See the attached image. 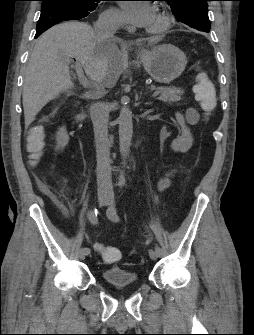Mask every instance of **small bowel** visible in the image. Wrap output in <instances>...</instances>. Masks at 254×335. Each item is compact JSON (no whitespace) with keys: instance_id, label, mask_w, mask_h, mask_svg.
<instances>
[{"instance_id":"1","label":"small bowel","mask_w":254,"mask_h":335,"mask_svg":"<svg viewBox=\"0 0 254 335\" xmlns=\"http://www.w3.org/2000/svg\"><path fill=\"white\" fill-rule=\"evenodd\" d=\"M37 141H40V140H37ZM42 143H43V142H42ZM170 183H171V181H170V177H169L168 175H166V176L162 177V178L159 180V182H158V187H159V189L163 190V189L169 187ZM95 247H96V249L100 252V249L102 248V245L99 244V243H97V244L95 245Z\"/></svg>"}]
</instances>
